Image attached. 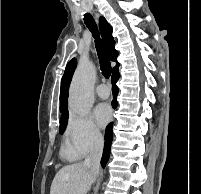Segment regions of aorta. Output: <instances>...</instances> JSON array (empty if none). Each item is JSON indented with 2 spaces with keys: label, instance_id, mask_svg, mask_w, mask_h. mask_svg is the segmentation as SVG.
Segmentation results:
<instances>
[{
  "label": "aorta",
  "instance_id": "762f6f07",
  "mask_svg": "<svg viewBox=\"0 0 201 194\" xmlns=\"http://www.w3.org/2000/svg\"><path fill=\"white\" fill-rule=\"evenodd\" d=\"M96 78L95 65L83 59L79 62L69 89V107L72 112L85 116L93 104V87Z\"/></svg>",
  "mask_w": 201,
  "mask_h": 194
}]
</instances>
